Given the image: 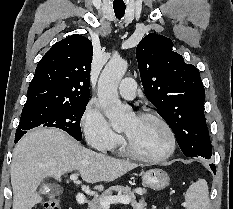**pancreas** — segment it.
Masks as SVG:
<instances>
[{
	"mask_svg": "<svg viewBox=\"0 0 233 209\" xmlns=\"http://www.w3.org/2000/svg\"><path fill=\"white\" fill-rule=\"evenodd\" d=\"M113 191L117 192L118 196L128 197L133 209H146L147 203L143 198L140 199L139 202L136 201L135 194L138 192V189L132 191L129 187L124 186H112L102 192L100 196L94 197L88 202V209H103L100 204V200L112 196Z\"/></svg>",
	"mask_w": 233,
	"mask_h": 209,
	"instance_id": "cf45deb5",
	"label": "pancreas"
}]
</instances>
